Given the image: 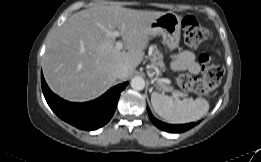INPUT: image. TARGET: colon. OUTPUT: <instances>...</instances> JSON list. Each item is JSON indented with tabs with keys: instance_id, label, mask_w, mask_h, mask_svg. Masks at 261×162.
Returning a JSON list of instances; mask_svg holds the SVG:
<instances>
[{
	"instance_id": "5ec220e1",
	"label": "colon",
	"mask_w": 261,
	"mask_h": 162,
	"mask_svg": "<svg viewBox=\"0 0 261 162\" xmlns=\"http://www.w3.org/2000/svg\"><path fill=\"white\" fill-rule=\"evenodd\" d=\"M182 30L185 43L192 49H197L209 37L208 29L193 16H186L182 20ZM202 73L199 76L189 74L180 75L176 83L178 87L198 96H205L212 92L221 82L224 68L214 62L208 54H201Z\"/></svg>"
}]
</instances>
